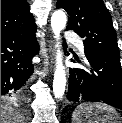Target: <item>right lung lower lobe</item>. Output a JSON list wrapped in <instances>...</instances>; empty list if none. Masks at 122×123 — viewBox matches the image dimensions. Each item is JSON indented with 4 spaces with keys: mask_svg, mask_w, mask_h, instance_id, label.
<instances>
[{
    "mask_svg": "<svg viewBox=\"0 0 122 123\" xmlns=\"http://www.w3.org/2000/svg\"><path fill=\"white\" fill-rule=\"evenodd\" d=\"M35 32L1 33V97L24 101L33 73L31 60L39 52Z\"/></svg>",
    "mask_w": 122,
    "mask_h": 123,
    "instance_id": "obj_1",
    "label": "right lung lower lobe"
}]
</instances>
